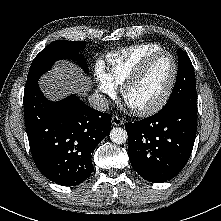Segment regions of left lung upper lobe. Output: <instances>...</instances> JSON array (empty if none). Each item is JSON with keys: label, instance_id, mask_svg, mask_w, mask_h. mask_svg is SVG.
Wrapping results in <instances>:
<instances>
[{"label": "left lung upper lobe", "instance_id": "obj_1", "mask_svg": "<svg viewBox=\"0 0 221 221\" xmlns=\"http://www.w3.org/2000/svg\"><path fill=\"white\" fill-rule=\"evenodd\" d=\"M178 61V73L173 91L161 110H166L184 100H197L194 68L182 49H178Z\"/></svg>", "mask_w": 221, "mask_h": 221}]
</instances>
